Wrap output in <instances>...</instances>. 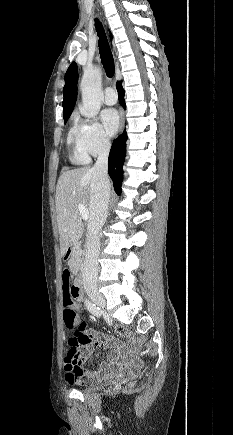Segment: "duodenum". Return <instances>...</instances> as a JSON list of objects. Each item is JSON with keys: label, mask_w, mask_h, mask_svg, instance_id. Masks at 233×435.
Returning a JSON list of instances; mask_svg holds the SVG:
<instances>
[{"label": "duodenum", "mask_w": 233, "mask_h": 435, "mask_svg": "<svg viewBox=\"0 0 233 435\" xmlns=\"http://www.w3.org/2000/svg\"><path fill=\"white\" fill-rule=\"evenodd\" d=\"M81 247V242L77 241L75 243L70 244L67 249L63 253V260L68 261L76 248ZM82 270L79 269L76 272V280L72 285V296L78 300L82 301L84 299L83 289H82Z\"/></svg>", "instance_id": "obj_1"}]
</instances>
